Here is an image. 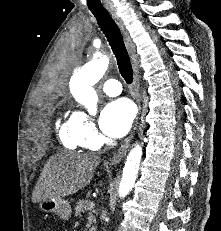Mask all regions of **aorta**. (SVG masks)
I'll return each instance as SVG.
<instances>
[{"label": "aorta", "mask_w": 221, "mask_h": 231, "mask_svg": "<svg viewBox=\"0 0 221 231\" xmlns=\"http://www.w3.org/2000/svg\"><path fill=\"white\" fill-rule=\"evenodd\" d=\"M109 65V57L96 53L89 63L79 69L70 80V91L77 102L85 106L88 112L95 115L97 112L98 96L93 88L105 74ZM142 145L135 144L130 150L122 178L119 184V197L124 198L132 190L142 158Z\"/></svg>", "instance_id": "1"}]
</instances>
